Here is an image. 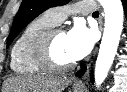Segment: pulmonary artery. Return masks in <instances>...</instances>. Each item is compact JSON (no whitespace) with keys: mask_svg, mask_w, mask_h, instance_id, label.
<instances>
[{"mask_svg":"<svg viewBox=\"0 0 127 92\" xmlns=\"http://www.w3.org/2000/svg\"><path fill=\"white\" fill-rule=\"evenodd\" d=\"M97 5L95 2H80L70 7H54L47 12V16L56 24L61 23L71 12H78L81 14H89L96 11Z\"/></svg>","mask_w":127,"mask_h":92,"instance_id":"pulmonary-artery-1","label":"pulmonary artery"}]
</instances>
